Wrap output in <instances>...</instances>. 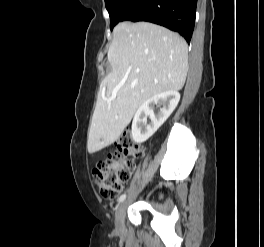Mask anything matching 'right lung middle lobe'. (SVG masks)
Returning <instances> with one entry per match:
<instances>
[{"mask_svg": "<svg viewBox=\"0 0 264 247\" xmlns=\"http://www.w3.org/2000/svg\"><path fill=\"white\" fill-rule=\"evenodd\" d=\"M132 0H105V6L110 16V29L119 22V17Z\"/></svg>", "mask_w": 264, "mask_h": 247, "instance_id": "dd1d6c3e", "label": "right lung middle lobe"}]
</instances>
